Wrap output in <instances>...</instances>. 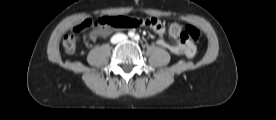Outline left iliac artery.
I'll return each instance as SVG.
<instances>
[{
  "label": "left iliac artery",
  "mask_w": 276,
  "mask_h": 120,
  "mask_svg": "<svg viewBox=\"0 0 276 120\" xmlns=\"http://www.w3.org/2000/svg\"><path fill=\"white\" fill-rule=\"evenodd\" d=\"M134 39L138 41L140 39V36L139 35H135Z\"/></svg>",
  "instance_id": "obj_1"
}]
</instances>
